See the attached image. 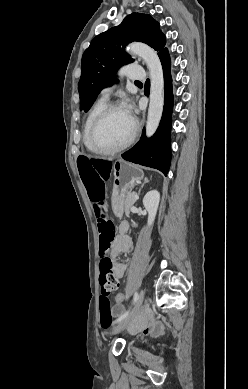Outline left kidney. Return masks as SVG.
Masks as SVG:
<instances>
[{
    "instance_id": "obj_1",
    "label": "left kidney",
    "mask_w": 248,
    "mask_h": 389,
    "mask_svg": "<svg viewBox=\"0 0 248 389\" xmlns=\"http://www.w3.org/2000/svg\"><path fill=\"white\" fill-rule=\"evenodd\" d=\"M160 201V194L156 190L149 191L143 198V205L148 212V226L154 222L158 205Z\"/></svg>"
}]
</instances>
